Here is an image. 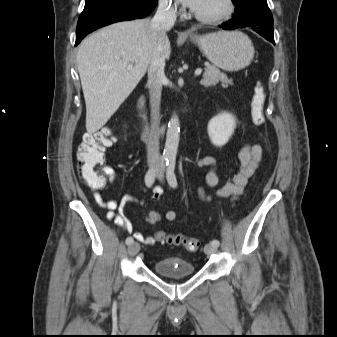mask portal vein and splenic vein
<instances>
[{"instance_id":"obj_1","label":"portal vein and splenic vein","mask_w":337,"mask_h":337,"mask_svg":"<svg viewBox=\"0 0 337 337\" xmlns=\"http://www.w3.org/2000/svg\"><path fill=\"white\" fill-rule=\"evenodd\" d=\"M132 67H133V65L132 64H129L128 66H127V69H132ZM202 73V69H196V71H195V76H199L200 74Z\"/></svg>"}]
</instances>
